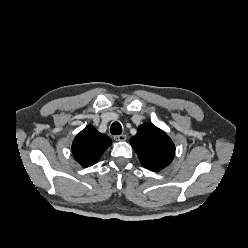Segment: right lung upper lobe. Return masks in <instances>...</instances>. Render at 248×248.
I'll return each mask as SVG.
<instances>
[{
  "mask_svg": "<svg viewBox=\"0 0 248 248\" xmlns=\"http://www.w3.org/2000/svg\"><path fill=\"white\" fill-rule=\"evenodd\" d=\"M111 143L108 136L99 133L93 126H87L76 135L72 143V153L81 166L89 167L100 159Z\"/></svg>",
  "mask_w": 248,
  "mask_h": 248,
  "instance_id": "right-lung-upper-lobe-1",
  "label": "right lung upper lobe"
}]
</instances>
